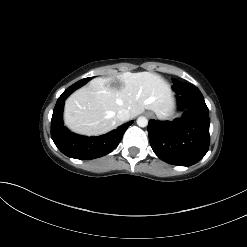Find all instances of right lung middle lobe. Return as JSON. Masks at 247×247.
<instances>
[{
  "instance_id": "dd1d6c3e",
  "label": "right lung middle lobe",
  "mask_w": 247,
  "mask_h": 247,
  "mask_svg": "<svg viewBox=\"0 0 247 247\" xmlns=\"http://www.w3.org/2000/svg\"><path fill=\"white\" fill-rule=\"evenodd\" d=\"M91 79H92V77H89V78L82 79L81 81L84 82V83H87Z\"/></svg>"
}]
</instances>
